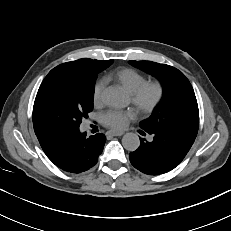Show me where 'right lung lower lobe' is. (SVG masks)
<instances>
[{"mask_svg": "<svg viewBox=\"0 0 231 231\" xmlns=\"http://www.w3.org/2000/svg\"><path fill=\"white\" fill-rule=\"evenodd\" d=\"M79 129H54L37 135L47 157L59 168L80 173L93 167L102 153L106 137L96 134L85 138Z\"/></svg>", "mask_w": 231, "mask_h": 231, "instance_id": "right-lung-lower-lobe-1", "label": "right lung lower lobe"}]
</instances>
